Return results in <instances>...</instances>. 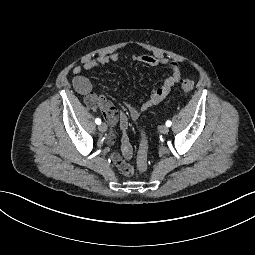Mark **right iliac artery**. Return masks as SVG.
<instances>
[{
  "label": "right iliac artery",
  "instance_id": "1",
  "mask_svg": "<svg viewBox=\"0 0 255 255\" xmlns=\"http://www.w3.org/2000/svg\"><path fill=\"white\" fill-rule=\"evenodd\" d=\"M95 122H96V124H101V119H99V118H97L96 120H95Z\"/></svg>",
  "mask_w": 255,
  "mask_h": 255
}]
</instances>
